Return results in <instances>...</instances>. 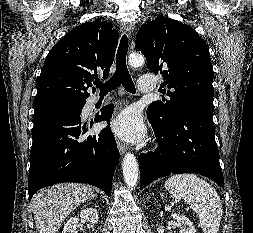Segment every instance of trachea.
Segmentation results:
<instances>
[{"label":"trachea","mask_w":253,"mask_h":233,"mask_svg":"<svg viewBox=\"0 0 253 233\" xmlns=\"http://www.w3.org/2000/svg\"><path fill=\"white\" fill-rule=\"evenodd\" d=\"M127 50L128 38L126 35H123L117 51V67L115 73L110 78V80L105 83H102L99 80H96L94 82V84L100 89L101 94H106L116 89L121 84L128 92L135 93V86L126 65Z\"/></svg>","instance_id":"obj_1"}]
</instances>
